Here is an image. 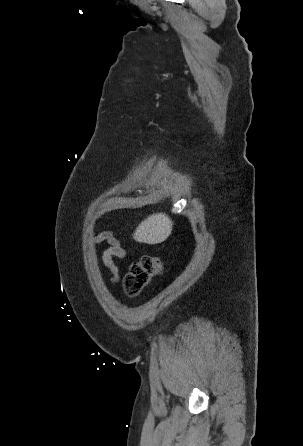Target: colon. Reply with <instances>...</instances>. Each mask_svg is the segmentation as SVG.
Returning <instances> with one entry per match:
<instances>
[{
	"label": "colon",
	"instance_id": "obj_1",
	"mask_svg": "<svg viewBox=\"0 0 303 446\" xmlns=\"http://www.w3.org/2000/svg\"><path fill=\"white\" fill-rule=\"evenodd\" d=\"M162 262L158 257L143 256L133 262L124 279L126 292L136 296L143 287L154 277L161 273Z\"/></svg>",
	"mask_w": 303,
	"mask_h": 446
}]
</instances>
